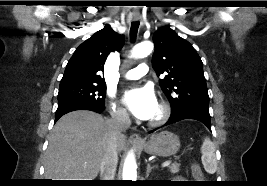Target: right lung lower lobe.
Wrapping results in <instances>:
<instances>
[{
	"mask_svg": "<svg viewBox=\"0 0 267 186\" xmlns=\"http://www.w3.org/2000/svg\"><path fill=\"white\" fill-rule=\"evenodd\" d=\"M75 110H90L97 113H101L104 110V105L88 102H69L59 104L55 114V122L64 114Z\"/></svg>",
	"mask_w": 267,
	"mask_h": 186,
	"instance_id": "1",
	"label": "right lung lower lobe"
}]
</instances>
